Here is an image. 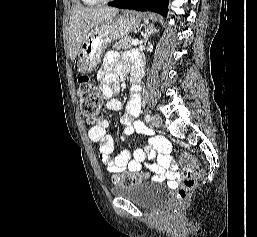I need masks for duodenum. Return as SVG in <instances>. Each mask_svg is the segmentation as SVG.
<instances>
[{
  "mask_svg": "<svg viewBox=\"0 0 257 237\" xmlns=\"http://www.w3.org/2000/svg\"><path fill=\"white\" fill-rule=\"evenodd\" d=\"M137 78H138V75H137V74H135V75H134V79H133V83H135V82H136Z\"/></svg>",
  "mask_w": 257,
  "mask_h": 237,
  "instance_id": "410a0bca",
  "label": "duodenum"
}]
</instances>
